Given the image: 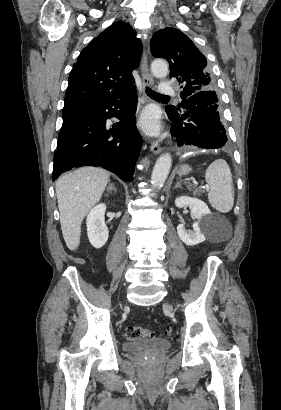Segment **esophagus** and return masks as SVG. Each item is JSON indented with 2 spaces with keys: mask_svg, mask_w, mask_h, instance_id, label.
<instances>
[{
  "mask_svg": "<svg viewBox=\"0 0 281 410\" xmlns=\"http://www.w3.org/2000/svg\"><path fill=\"white\" fill-rule=\"evenodd\" d=\"M141 76H142V82H143V86L148 87V86H152L153 85V78L151 76V74L149 73V68H148V59H147V54L146 51L143 54L142 57V62H141ZM151 151L154 154H158L161 152L162 148L159 144L158 141H153L151 143Z\"/></svg>",
  "mask_w": 281,
  "mask_h": 410,
  "instance_id": "esophagus-1",
  "label": "esophagus"
}]
</instances>
